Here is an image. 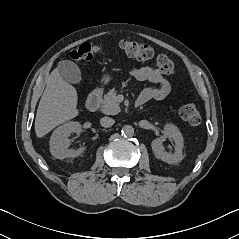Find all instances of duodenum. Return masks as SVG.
I'll return each instance as SVG.
<instances>
[{"label":"duodenum","instance_id":"1","mask_svg":"<svg viewBox=\"0 0 239 239\" xmlns=\"http://www.w3.org/2000/svg\"><path fill=\"white\" fill-rule=\"evenodd\" d=\"M100 97H101L100 89H95L90 94V96L88 97V99L86 101V108L88 111L95 112L98 109L99 103H100ZM142 105H143V103L141 101H136V103H135V107H137V108Z\"/></svg>","mask_w":239,"mask_h":239}]
</instances>
